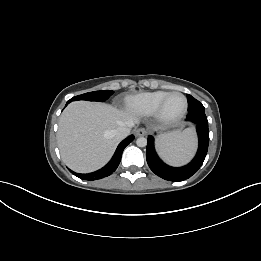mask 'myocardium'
Here are the masks:
<instances>
[{"mask_svg":"<svg viewBox=\"0 0 261 261\" xmlns=\"http://www.w3.org/2000/svg\"><path fill=\"white\" fill-rule=\"evenodd\" d=\"M172 95H180V96H182V98L184 100V107H183L182 111L178 115L173 116V117H169V116L165 115V113H164V106H165L166 101ZM187 110H188V100H187V97L183 93H181V92L173 91V92H169L161 100V102L159 103L158 108H157V110L155 112V116H156V119L160 123L165 124V125H171V124H175V123L179 122L181 119H183L184 116L187 113Z\"/></svg>","mask_w":261,"mask_h":261,"instance_id":"1","label":"myocardium"}]
</instances>
